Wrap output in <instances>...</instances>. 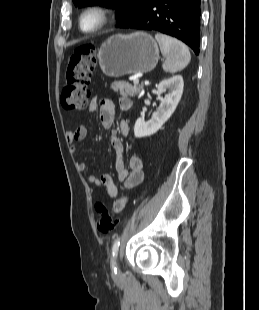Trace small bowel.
Masks as SVG:
<instances>
[{
  "label": "small bowel",
  "mask_w": 259,
  "mask_h": 310,
  "mask_svg": "<svg viewBox=\"0 0 259 310\" xmlns=\"http://www.w3.org/2000/svg\"><path fill=\"white\" fill-rule=\"evenodd\" d=\"M119 107L121 110L130 109L131 100L127 97H121L119 99ZM97 110H99V117L102 126L105 129L111 130L116 115V106L114 102L110 99H98L94 97L89 103L88 111L90 113H93ZM118 131L122 135L128 136V124L125 121H121L118 126ZM87 133V125L81 124L75 129L68 130L66 132V139L68 143L74 144L76 142L84 140L87 136ZM110 142L116 156L115 168L118 180L123 183V186L126 190H132L140 186L144 180L142 159L137 155H132L129 157L128 167H126L123 160V143L121 138L117 135V131L114 129H112ZM71 151L75 153L77 151V148L75 146H72ZM77 167L80 171H84L86 168V164L84 162H79ZM86 180L89 184L103 186L106 188L107 194L111 198L115 199L113 203V210L116 213H120L125 209L128 199L126 197L118 198V187L109 173L103 172L99 176L90 174L86 177Z\"/></svg>",
  "instance_id": "small-bowel-1"
}]
</instances>
